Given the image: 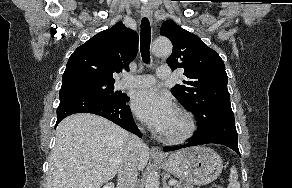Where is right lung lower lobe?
<instances>
[{"instance_id": "right-lung-lower-lobe-1", "label": "right lung lower lobe", "mask_w": 292, "mask_h": 188, "mask_svg": "<svg viewBox=\"0 0 292 188\" xmlns=\"http://www.w3.org/2000/svg\"><path fill=\"white\" fill-rule=\"evenodd\" d=\"M60 104L57 108V122L65 117L75 113H93L109 119L122 128L130 131L139 137L141 133L138 130L131 110L127 106L129 97L116 103L105 101L100 97L79 89H67L59 92Z\"/></svg>"}]
</instances>
